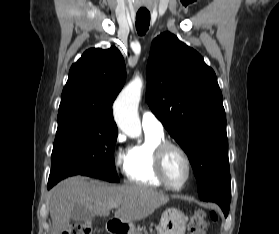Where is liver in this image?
I'll return each mask as SVG.
<instances>
[{
	"label": "liver",
	"instance_id": "obj_1",
	"mask_svg": "<svg viewBox=\"0 0 279 234\" xmlns=\"http://www.w3.org/2000/svg\"><path fill=\"white\" fill-rule=\"evenodd\" d=\"M167 202V195L143 185L115 186L87 181L84 177L69 178L51 191V234H62L68 228L75 205L85 207L93 215L107 217L112 204H117L114 217L122 223H131L148 217Z\"/></svg>",
	"mask_w": 279,
	"mask_h": 234
}]
</instances>
